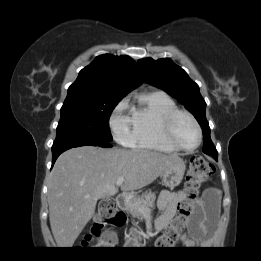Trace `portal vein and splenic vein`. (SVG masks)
<instances>
[{
  "instance_id": "1",
  "label": "portal vein and splenic vein",
  "mask_w": 261,
  "mask_h": 261,
  "mask_svg": "<svg viewBox=\"0 0 261 261\" xmlns=\"http://www.w3.org/2000/svg\"><path fill=\"white\" fill-rule=\"evenodd\" d=\"M124 182V177H119L116 181V185L117 186H121Z\"/></svg>"
}]
</instances>
